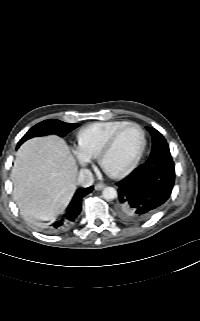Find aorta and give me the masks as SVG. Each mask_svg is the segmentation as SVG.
Here are the masks:
<instances>
[{"label":"aorta","instance_id":"1","mask_svg":"<svg viewBox=\"0 0 200 321\" xmlns=\"http://www.w3.org/2000/svg\"><path fill=\"white\" fill-rule=\"evenodd\" d=\"M102 196L105 200L110 201L117 197V191L113 187H106L102 191Z\"/></svg>","mask_w":200,"mask_h":321}]
</instances>
